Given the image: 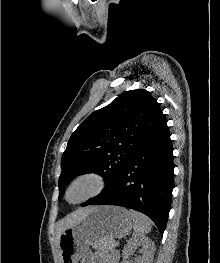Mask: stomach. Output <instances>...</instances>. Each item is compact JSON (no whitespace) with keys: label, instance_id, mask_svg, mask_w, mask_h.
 <instances>
[{"label":"stomach","instance_id":"0dacf381","mask_svg":"<svg viewBox=\"0 0 220 263\" xmlns=\"http://www.w3.org/2000/svg\"><path fill=\"white\" fill-rule=\"evenodd\" d=\"M133 227L130 212L119 206H99L64 230L59 238L61 263H78L89 246L107 250L114 238L126 236Z\"/></svg>","mask_w":220,"mask_h":263}]
</instances>
